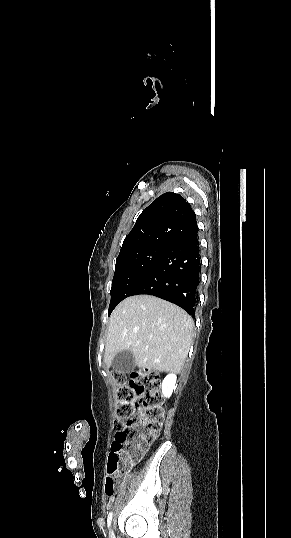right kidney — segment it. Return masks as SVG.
Returning <instances> with one entry per match:
<instances>
[{"label":"right kidney","instance_id":"ca27d5eb","mask_svg":"<svg viewBox=\"0 0 291 538\" xmlns=\"http://www.w3.org/2000/svg\"><path fill=\"white\" fill-rule=\"evenodd\" d=\"M176 380L177 377L174 373H170L164 378L161 384L162 394L164 397L169 398L172 395V392L176 387Z\"/></svg>","mask_w":291,"mask_h":538}]
</instances>
